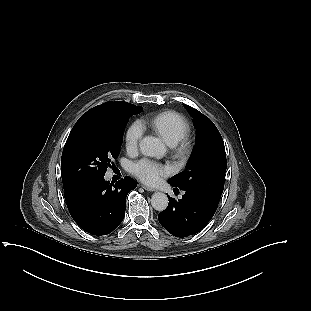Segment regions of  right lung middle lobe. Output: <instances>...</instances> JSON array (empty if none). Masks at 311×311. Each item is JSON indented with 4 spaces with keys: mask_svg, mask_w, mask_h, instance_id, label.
I'll return each instance as SVG.
<instances>
[{
    "mask_svg": "<svg viewBox=\"0 0 311 311\" xmlns=\"http://www.w3.org/2000/svg\"><path fill=\"white\" fill-rule=\"evenodd\" d=\"M131 110L118 105L96 106L76 122L72 128L61 158L64 191L83 183L101 179L107 168L114 167Z\"/></svg>",
    "mask_w": 311,
    "mask_h": 311,
    "instance_id": "1",
    "label": "right lung middle lobe"
}]
</instances>
